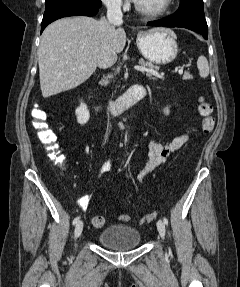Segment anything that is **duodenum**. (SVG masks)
Instances as JSON below:
<instances>
[{"instance_id":"410a0bca","label":"duodenum","mask_w":240,"mask_h":287,"mask_svg":"<svg viewBox=\"0 0 240 287\" xmlns=\"http://www.w3.org/2000/svg\"><path fill=\"white\" fill-rule=\"evenodd\" d=\"M146 96L143 85L135 84L131 86L123 95L115 100L108 101L104 105L112 113H119L130 106L134 105Z\"/></svg>"}]
</instances>
